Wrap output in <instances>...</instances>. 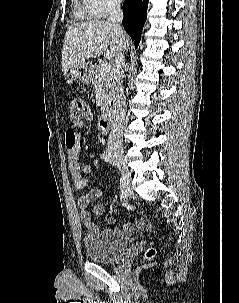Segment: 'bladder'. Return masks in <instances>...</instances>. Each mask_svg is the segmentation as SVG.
Listing matches in <instances>:
<instances>
[{
    "mask_svg": "<svg viewBox=\"0 0 239 303\" xmlns=\"http://www.w3.org/2000/svg\"><path fill=\"white\" fill-rule=\"evenodd\" d=\"M131 243V238L107 240L85 237L83 239V246L88 258L100 263H112L122 258Z\"/></svg>",
    "mask_w": 239,
    "mask_h": 303,
    "instance_id": "bladder-1",
    "label": "bladder"
}]
</instances>
